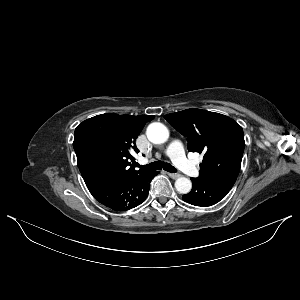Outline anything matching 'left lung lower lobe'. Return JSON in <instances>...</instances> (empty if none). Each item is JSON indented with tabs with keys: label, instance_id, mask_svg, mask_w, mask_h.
<instances>
[{
	"label": "left lung lower lobe",
	"instance_id": "obj_1",
	"mask_svg": "<svg viewBox=\"0 0 300 300\" xmlns=\"http://www.w3.org/2000/svg\"><path fill=\"white\" fill-rule=\"evenodd\" d=\"M192 190L182 196L189 204L201 207L212 206L222 200L230 189L204 182L199 178H191Z\"/></svg>",
	"mask_w": 300,
	"mask_h": 300
}]
</instances>
